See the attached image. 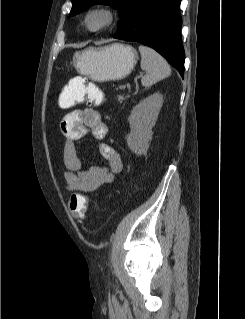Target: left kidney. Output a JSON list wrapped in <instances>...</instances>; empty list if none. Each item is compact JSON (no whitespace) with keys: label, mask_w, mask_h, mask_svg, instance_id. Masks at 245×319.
Returning a JSON list of instances; mask_svg holds the SVG:
<instances>
[{"label":"left kidney","mask_w":245,"mask_h":319,"mask_svg":"<svg viewBox=\"0 0 245 319\" xmlns=\"http://www.w3.org/2000/svg\"><path fill=\"white\" fill-rule=\"evenodd\" d=\"M163 103L161 93H154L141 100L131 111L128 119L130 134L127 136V145L137 155L145 154L149 141L152 139V128L156 123Z\"/></svg>","instance_id":"obj_1"}]
</instances>
